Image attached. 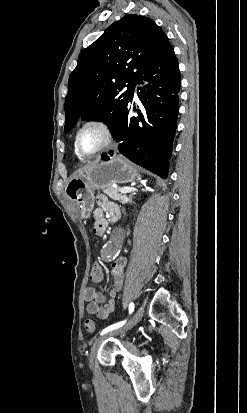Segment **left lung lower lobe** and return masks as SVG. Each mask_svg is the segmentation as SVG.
<instances>
[{
    "label": "left lung lower lobe",
    "mask_w": 247,
    "mask_h": 413,
    "mask_svg": "<svg viewBox=\"0 0 247 413\" xmlns=\"http://www.w3.org/2000/svg\"><path fill=\"white\" fill-rule=\"evenodd\" d=\"M136 84L143 85L137 87L139 116L130 118L127 106L113 137L119 154L166 178L179 110L180 74L173 47L166 48ZM102 160L109 156L102 155Z\"/></svg>",
    "instance_id": "0a47b994"
}]
</instances>
